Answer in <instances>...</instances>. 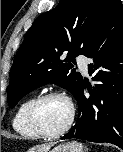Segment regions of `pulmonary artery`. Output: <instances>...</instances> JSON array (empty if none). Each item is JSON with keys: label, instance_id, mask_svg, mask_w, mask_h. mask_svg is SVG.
Instances as JSON below:
<instances>
[{"label": "pulmonary artery", "instance_id": "1", "mask_svg": "<svg viewBox=\"0 0 123 152\" xmlns=\"http://www.w3.org/2000/svg\"><path fill=\"white\" fill-rule=\"evenodd\" d=\"M77 63L78 66L80 68V70L84 73L87 74L88 73V62L87 59L85 57H78L77 58Z\"/></svg>", "mask_w": 123, "mask_h": 152}]
</instances>
